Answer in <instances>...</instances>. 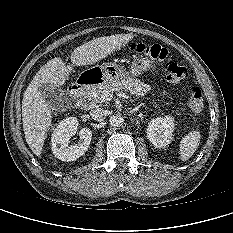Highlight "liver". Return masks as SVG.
Segmentation results:
<instances>
[{
	"label": "liver",
	"instance_id": "obj_1",
	"mask_svg": "<svg viewBox=\"0 0 233 233\" xmlns=\"http://www.w3.org/2000/svg\"><path fill=\"white\" fill-rule=\"evenodd\" d=\"M133 38V34H114L95 38L74 49L71 62L76 66L92 65L121 49ZM72 70L73 68L66 65L61 58L55 57L40 68L24 93L23 130L28 146L38 157L42 153L52 121L51 107L40 93L39 87L43 84L63 86Z\"/></svg>",
	"mask_w": 233,
	"mask_h": 233
}]
</instances>
